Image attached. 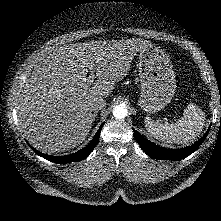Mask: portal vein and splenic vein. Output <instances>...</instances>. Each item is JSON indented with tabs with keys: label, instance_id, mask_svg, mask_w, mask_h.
<instances>
[{
	"label": "portal vein and splenic vein",
	"instance_id": "18ae733b",
	"mask_svg": "<svg viewBox=\"0 0 221 221\" xmlns=\"http://www.w3.org/2000/svg\"><path fill=\"white\" fill-rule=\"evenodd\" d=\"M87 80H88L89 82H93V80H94V75L91 74V75L88 77Z\"/></svg>",
	"mask_w": 221,
	"mask_h": 221
}]
</instances>
